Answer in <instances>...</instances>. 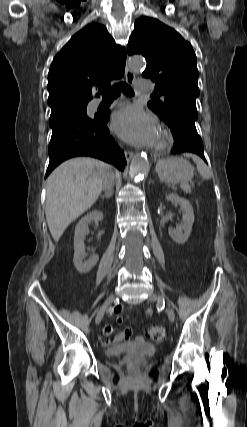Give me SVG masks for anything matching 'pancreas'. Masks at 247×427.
I'll return each instance as SVG.
<instances>
[{"label": "pancreas", "mask_w": 247, "mask_h": 427, "mask_svg": "<svg viewBox=\"0 0 247 427\" xmlns=\"http://www.w3.org/2000/svg\"><path fill=\"white\" fill-rule=\"evenodd\" d=\"M183 187L185 188L186 192H191L190 187L187 184H184Z\"/></svg>", "instance_id": "cf45deb5"}]
</instances>
